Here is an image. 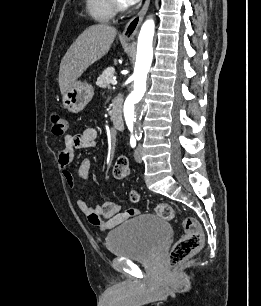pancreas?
Returning <instances> with one entry per match:
<instances>
[{
  "mask_svg": "<svg viewBox=\"0 0 261 306\" xmlns=\"http://www.w3.org/2000/svg\"><path fill=\"white\" fill-rule=\"evenodd\" d=\"M115 70L113 67H109L103 71V73L98 77L96 85L100 88L109 87L112 78L114 76Z\"/></svg>",
  "mask_w": 261,
  "mask_h": 306,
  "instance_id": "obj_1",
  "label": "pancreas"
}]
</instances>
